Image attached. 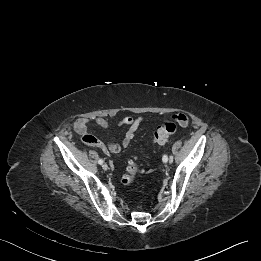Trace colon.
Wrapping results in <instances>:
<instances>
[{
    "label": "colon",
    "mask_w": 261,
    "mask_h": 261,
    "mask_svg": "<svg viewBox=\"0 0 261 261\" xmlns=\"http://www.w3.org/2000/svg\"><path fill=\"white\" fill-rule=\"evenodd\" d=\"M188 119L184 116H173L172 120L165 121L153 134L152 141L157 144H164L167 139L176 132L177 125H187ZM140 169L137 165L131 164L127 174L122 178V184L130 186L136 180Z\"/></svg>",
    "instance_id": "obj_1"
}]
</instances>
